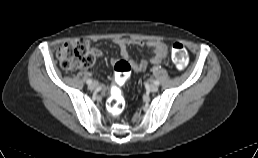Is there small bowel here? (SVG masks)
Here are the masks:
<instances>
[{"label":"small bowel","mask_w":258,"mask_h":158,"mask_svg":"<svg viewBox=\"0 0 258 158\" xmlns=\"http://www.w3.org/2000/svg\"><path fill=\"white\" fill-rule=\"evenodd\" d=\"M113 43L119 48L122 58L129 62L132 70L136 73L144 71L147 68L149 62L152 64L164 63L168 55L166 44L157 40L143 41L138 39L117 38L113 40ZM132 45L147 47L148 49H150L152 55L149 61L141 60L138 62L129 59L128 48ZM92 52L96 57H100L102 55V51L97 47L92 48ZM116 62V59L112 60L113 64H115ZM100 91L102 94L108 93V90L104 86H100Z\"/></svg>","instance_id":"small-bowel-1"}]
</instances>
